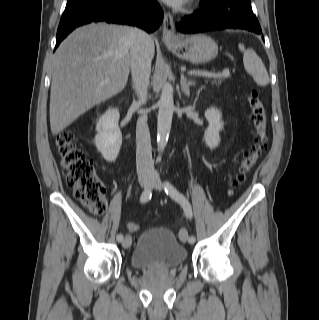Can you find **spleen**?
Here are the masks:
<instances>
[{"mask_svg":"<svg viewBox=\"0 0 319 320\" xmlns=\"http://www.w3.org/2000/svg\"><path fill=\"white\" fill-rule=\"evenodd\" d=\"M238 47L243 52L244 68L253 77L255 83L259 86L268 85L269 76L261 58L253 49H246L243 44H239Z\"/></svg>","mask_w":319,"mask_h":320,"instance_id":"obj_1","label":"spleen"}]
</instances>
